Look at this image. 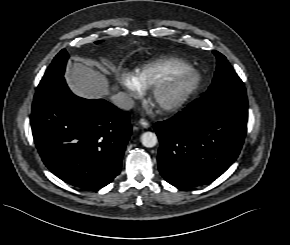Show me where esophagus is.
I'll return each mask as SVG.
<instances>
[{
	"label": "esophagus",
	"instance_id": "esophagus-1",
	"mask_svg": "<svg viewBox=\"0 0 290 245\" xmlns=\"http://www.w3.org/2000/svg\"><path fill=\"white\" fill-rule=\"evenodd\" d=\"M139 124H140L143 128H149V126H150V123H149L146 119H144V118H141V119L139 120Z\"/></svg>",
	"mask_w": 290,
	"mask_h": 245
}]
</instances>
